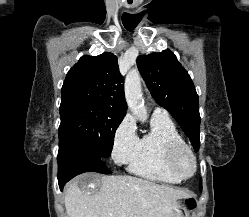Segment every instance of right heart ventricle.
Masks as SVG:
<instances>
[{"label": "right heart ventricle", "instance_id": "1", "mask_svg": "<svg viewBox=\"0 0 249 217\" xmlns=\"http://www.w3.org/2000/svg\"><path fill=\"white\" fill-rule=\"evenodd\" d=\"M174 143H184L169 117L152 116L151 129L139 138L129 162V171L142 178L166 184H177L182 178L168 166V150Z\"/></svg>", "mask_w": 249, "mask_h": 217}]
</instances>
